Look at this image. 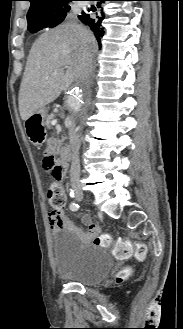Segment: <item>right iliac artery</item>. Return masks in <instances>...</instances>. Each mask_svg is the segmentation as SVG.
I'll use <instances>...</instances> for the list:
<instances>
[{
    "label": "right iliac artery",
    "mask_w": 183,
    "mask_h": 329,
    "mask_svg": "<svg viewBox=\"0 0 183 329\" xmlns=\"http://www.w3.org/2000/svg\"><path fill=\"white\" fill-rule=\"evenodd\" d=\"M70 196L72 198L74 197V191L73 190H70ZM69 207H70V210H72V211H77L79 209V205L76 202H72Z\"/></svg>",
    "instance_id": "1"
}]
</instances>
